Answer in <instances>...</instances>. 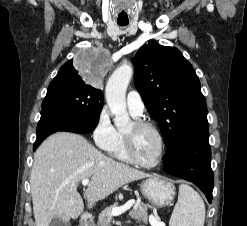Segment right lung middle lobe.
Listing matches in <instances>:
<instances>
[{
    "mask_svg": "<svg viewBox=\"0 0 247 226\" xmlns=\"http://www.w3.org/2000/svg\"><path fill=\"white\" fill-rule=\"evenodd\" d=\"M102 108V91L81 82L73 67V70L57 74L50 82L42 102L41 113L55 110L78 119L98 123Z\"/></svg>",
    "mask_w": 247,
    "mask_h": 226,
    "instance_id": "obj_1",
    "label": "right lung middle lobe"
}]
</instances>
